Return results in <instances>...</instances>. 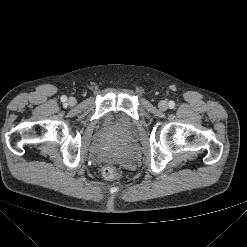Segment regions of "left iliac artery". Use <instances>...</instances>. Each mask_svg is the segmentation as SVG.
Returning <instances> with one entry per match:
<instances>
[{
	"label": "left iliac artery",
	"mask_w": 247,
	"mask_h": 247,
	"mask_svg": "<svg viewBox=\"0 0 247 247\" xmlns=\"http://www.w3.org/2000/svg\"><path fill=\"white\" fill-rule=\"evenodd\" d=\"M168 104L171 109L175 107L174 101H170Z\"/></svg>",
	"instance_id": "44dca946"
}]
</instances>
